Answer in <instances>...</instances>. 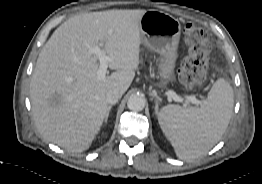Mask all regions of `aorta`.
I'll list each match as a JSON object with an SVG mask.
<instances>
[{"label": "aorta", "mask_w": 262, "mask_h": 184, "mask_svg": "<svg viewBox=\"0 0 262 184\" xmlns=\"http://www.w3.org/2000/svg\"><path fill=\"white\" fill-rule=\"evenodd\" d=\"M145 104L146 100L142 95L133 94L128 99L127 107L132 111H142Z\"/></svg>", "instance_id": "762f6f07"}]
</instances>
